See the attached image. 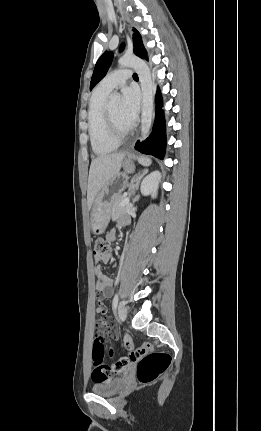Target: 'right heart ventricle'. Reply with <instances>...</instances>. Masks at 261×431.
I'll return each mask as SVG.
<instances>
[{
  "mask_svg": "<svg viewBox=\"0 0 261 431\" xmlns=\"http://www.w3.org/2000/svg\"><path fill=\"white\" fill-rule=\"evenodd\" d=\"M108 92L96 89L90 101L88 111V131L93 152L96 155H108L115 151L119 144L108 135L105 119V101Z\"/></svg>",
  "mask_w": 261,
  "mask_h": 431,
  "instance_id": "obj_1",
  "label": "right heart ventricle"
}]
</instances>
